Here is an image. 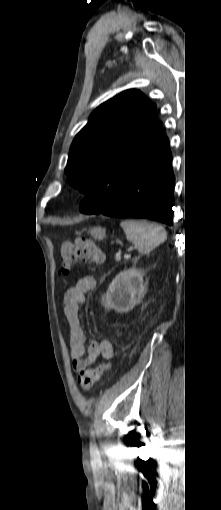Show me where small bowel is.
<instances>
[{
    "label": "small bowel",
    "mask_w": 221,
    "mask_h": 510,
    "mask_svg": "<svg viewBox=\"0 0 221 510\" xmlns=\"http://www.w3.org/2000/svg\"><path fill=\"white\" fill-rule=\"evenodd\" d=\"M97 281L93 275L80 278L64 295L63 311L70 326V356L72 365L77 373L91 370L96 359L101 356L105 360L114 357V347L107 340L89 343L87 353L85 348L86 336L80 320V306L88 292L94 291Z\"/></svg>",
    "instance_id": "1"
}]
</instances>
